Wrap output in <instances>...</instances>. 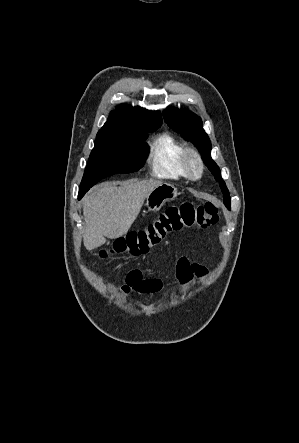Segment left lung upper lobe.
I'll use <instances>...</instances> for the list:
<instances>
[{
	"instance_id": "1",
	"label": "left lung upper lobe",
	"mask_w": 299,
	"mask_h": 443,
	"mask_svg": "<svg viewBox=\"0 0 299 443\" xmlns=\"http://www.w3.org/2000/svg\"><path fill=\"white\" fill-rule=\"evenodd\" d=\"M164 119L169 127L181 133L186 140L191 141L198 148L204 163L220 184L224 194V204L230 208L229 191L221 178L219 167L211 158V142L203 129L201 118L188 110L169 109L164 112Z\"/></svg>"
}]
</instances>
